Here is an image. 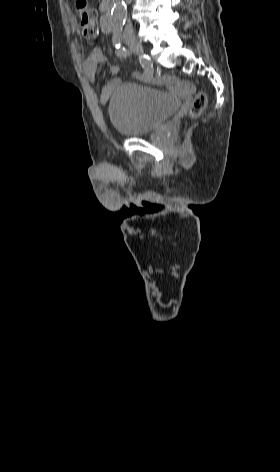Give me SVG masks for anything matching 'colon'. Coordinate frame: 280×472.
Masks as SVG:
<instances>
[{
    "label": "colon",
    "instance_id": "5ec220e1",
    "mask_svg": "<svg viewBox=\"0 0 280 472\" xmlns=\"http://www.w3.org/2000/svg\"><path fill=\"white\" fill-rule=\"evenodd\" d=\"M75 8L84 37L89 41H93L98 35V16L96 10L87 0H77ZM206 106L207 95L203 91L197 92L190 106V117L196 118L200 116Z\"/></svg>",
    "mask_w": 280,
    "mask_h": 472
}]
</instances>
